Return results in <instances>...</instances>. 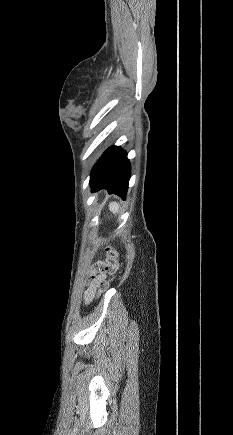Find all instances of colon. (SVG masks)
<instances>
[{"label": "colon", "mask_w": 233, "mask_h": 435, "mask_svg": "<svg viewBox=\"0 0 233 435\" xmlns=\"http://www.w3.org/2000/svg\"><path fill=\"white\" fill-rule=\"evenodd\" d=\"M117 253L112 248L105 251V259L97 261L91 267L92 280L98 283V294L108 290V283L100 278L103 273H113L118 268Z\"/></svg>", "instance_id": "1"}]
</instances>
